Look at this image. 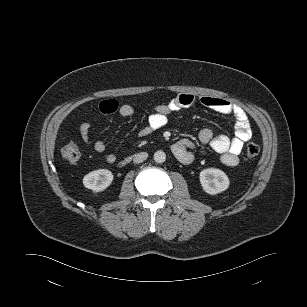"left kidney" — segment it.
<instances>
[{
  "label": "left kidney",
  "instance_id": "5707ae66",
  "mask_svg": "<svg viewBox=\"0 0 307 307\" xmlns=\"http://www.w3.org/2000/svg\"><path fill=\"white\" fill-rule=\"evenodd\" d=\"M199 176L203 190L211 195L225 191L230 184L228 176L220 169H204Z\"/></svg>",
  "mask_w": 307,
  "mask_h": 307
}]
</instances>
